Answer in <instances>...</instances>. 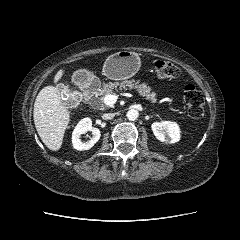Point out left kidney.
Returning a JSON list of instances; mask_svg holds the SVG:
<instances>
[{"label":"left kidney","mask_w":240,"mask_h":240,"mask_svg":"<svg viewBox=\"0 0 240 240\" xmlns=\"http://www.w3.org/2000/svg\"><path fill=\"white\" fill-rule=\"evenodd\" d=\"M151 128L155 137L161 142L175 143L180 140V128L175 122H155Z\"/></svg>","instance_id":"obj_1"}]
</instances>
